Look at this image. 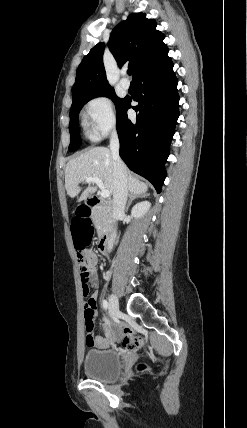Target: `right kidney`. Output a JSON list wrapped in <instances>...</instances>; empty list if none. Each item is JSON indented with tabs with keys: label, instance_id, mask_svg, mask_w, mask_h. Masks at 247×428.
I'll use <instances>...</instances> for the list:
<instances>
[{
	"label": "right kidney",
	"instance_id": "ca27d5eb",
	"mask_svg": "<svg viewBox=\"0 0 247 428\" xmlns=\"http://www.w3.org/2000/svg\"><path fill=\"white\" fill-rule=\"evenodd\" d=\"M151 203L148 201H142L137 203L131 210V214L135 218L142 217L149 210Z\"/></svg>",
	"mask_w": 247,
	"mask_h": 428
}]
</instances>
